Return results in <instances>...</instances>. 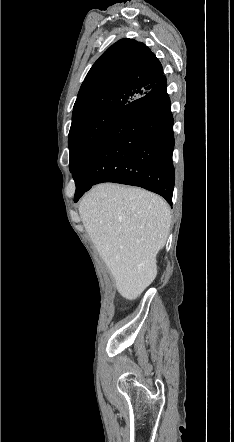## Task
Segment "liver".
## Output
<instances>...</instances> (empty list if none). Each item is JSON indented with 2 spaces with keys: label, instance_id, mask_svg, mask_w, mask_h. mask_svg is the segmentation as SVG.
I'll return each instance as SVG.
<instances>
[{
  "label": "liver",
  "instance_id": "liver-1",
  "mask_svg": "<svg viewBox=\"0 0 234 442\" xmlns=\"http://www.w3.org/2000/svg\"><path fill=\"white\" fill-rule=\"evenodd\" d=\"M79 214L118 292L128 300L139 297L157 274L156 256L171 225L169 205L141 188L104 183L82 198Z\"/></svg>",
  "mask_w": 234,
  "mask_h": 442
}]
</instances>
